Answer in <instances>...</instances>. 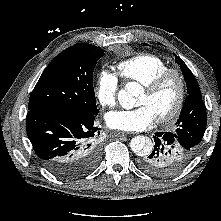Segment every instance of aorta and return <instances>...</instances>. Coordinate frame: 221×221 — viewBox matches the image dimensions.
Instances as JSON below:
<instances>
[{"mask_svg": "<svg viewBox=\"0 0 221 221\" xmlns=\"http://www.w3.org/2000/svg\"><path fill=\"white\" fill-rule=\"evenodd\" d=\"M142 91V87L137 82H128L124 89L119 91L118 100L125 109H131L135 105V97ZM131 150L139 156L147 154L153 148L152 142L144 136H135L130 142Z\"/></svg>", "mask_w": 221, "mask_h": 221, "instance_id": "obj_1", "label": "aorta"}]
</instances>
